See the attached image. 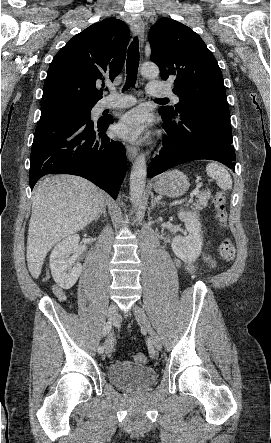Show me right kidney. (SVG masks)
I'll return each instance as SVG.
<instances>
[{
	"instance_id": "ca27d5eb",
	"label": "right kidney",
	"mask_w": 271,
	"mask_h": 443,
	"mask_svg": "<svg viewBox=\"0 0 271 443\" xmlns=\"http://www.w3.org/2000/svg\"><path fill=\"white\" fill-rule=\"evenodd\" d=\"M79 241L78 233L68 235L60 243H57L50 253V267L53 279L63 289H70L76 283L82 271L81 263L75 261L79 253L77 249Z\"/></svg>"
}]
</instances>
